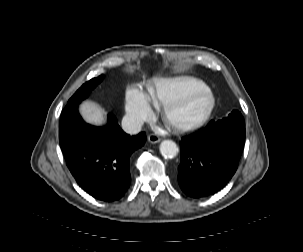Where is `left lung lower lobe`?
<instances>
[{"label": "left lung lower lobe", "instance_id": "0a47b994", "mask_svg": "<svg viewBox=\"0 0 303 252\" xmlns=\"http://www.w3.org/2000/svg\"><path fill=\"white\" fill-rule=\"evenodd\" d=\"M245 142V126L205 128L183 137L178 183L191 197L212 195L234 175Z\"/></svg>", "mask_w": 303, "mask_h": 252}]
</instances>
